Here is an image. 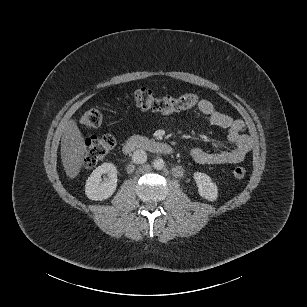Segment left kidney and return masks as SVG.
<instances>
[{
  "label": "left kidney",
  "mask_w": 307,
  "mask_h": 307,
  "mask_svg": "<svg viewBox=\"0 0 307 307\" xmlns=\"http://www.w3.org/2000/svg\"><path fill=\"white\" fill-rule=\"evenodd\" d=\"M197 186L198 195L207 202H216L219 198V188L206 173L196 171L192 174Z\"/></svg>",
  "instance_id": "left-kidney-1"
}]
</instances>
